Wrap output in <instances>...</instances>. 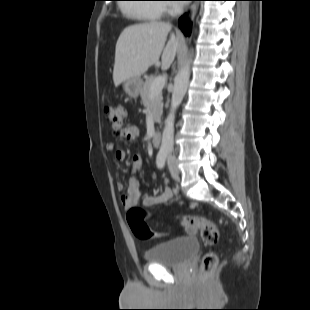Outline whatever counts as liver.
I'll use <instances>...</instances> for the list:
<instances>
[{"label": "liver", "mask_w": 310, "mask_h": 310, "mask_svg": "<svg viewBox=\"0 0 310 310\" xmlns=\"http://www.w3.org/2000/svg\"><path fill=\"white\" fill-rule=\"evenodd\" d=\"M171 24L149 22L126 27L115 49L113 81L116 86L130 78L140 77L158 63L162 53V68L168 69L175 59L180 39L171 35L165 46Z\"/></svg>", "instance_id": "liver-1"}]
</instances>
